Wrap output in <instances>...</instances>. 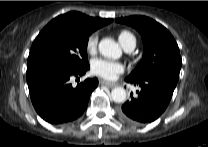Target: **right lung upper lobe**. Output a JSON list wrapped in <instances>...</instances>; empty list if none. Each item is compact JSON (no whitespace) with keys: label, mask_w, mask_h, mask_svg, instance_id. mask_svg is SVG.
Here are the masks:
<instances>
[{"label":"right lung upper lobe","mask_w":208,"mask_h":147,"mask_svg":"<svg viewBox=\"0 0 208 147\" xmlns=\"http://www.w3.org/2000/svg\"><path fill=\"white\" fill-rule=\"evenodd\" d=\"M112 21L113 19L94 18L80 12L73 11L54 18L49 24H71L93 32Z\"/></svg>","instance_id":"1"}]
</instances>
